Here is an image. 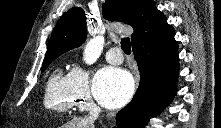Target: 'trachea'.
Wrapping results in <instances>:
<instances>
[{
	"instance_id": "trachea-1",
	"label": "trachea",
	"mask_w": 221,
	"mask_h": 128,
	"mask_svg": "<svg viewBox=\"0 0 221 128\" xmlns=\"http://www.w3.org/2000/svg\"><path fill=\"white\" fill-rule=\"evenodd\" d=\"M121 48L127 55L131 53V43L129 38L122 39Z\"/></svg>"
}]
</instances>
